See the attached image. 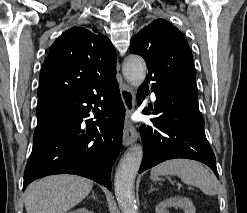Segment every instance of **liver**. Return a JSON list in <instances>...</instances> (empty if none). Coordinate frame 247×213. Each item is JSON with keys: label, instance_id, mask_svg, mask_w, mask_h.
<instances>
[{"label": "liver", "instance_id": "obj_1", "mask_svg": "<svg viewBox=\"0 0 247 213\" xmlns=\"http://www.w3.org/2000/svg\"><path fill=\"white\" fill-rule=\"evenodd\" d=\"M93 181L61 174L30 184L25 191L27 213H65L81 202L92 190Z\"/></svg>", "mask_w": 247, "mask_h": 213}]
</instances>
